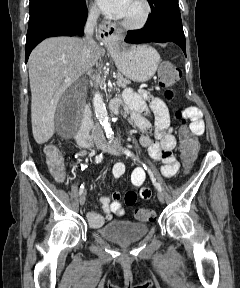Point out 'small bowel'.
Listing matches in <instances>:
<instances>
[{
	"label": "small bowel",
	"instance_id": "small-bowel-1",
	"mask_svg": "<svg viewBox=\"0 0 240 288\" xmlns=\"http://www.w3.org/2000/svg\"><path fill=\"white\" fill-rule=\"evenodd\" d=\"M125 111L129 114L134 125L143 133L140 137V144L148 149L149 155L154 160L160 162L161 172L165 177L174 176L179 170V163L173 155L176 145V137L170 125V114L164 101L159 97L153 96L148 91L142 89L134 91L126 89L120 100ZM154 117V130L149 117ZM182 117L190 122L189 130L194 136H200L204 132V121L201 111L196 107H187L182 111ZM153 131L154 139L151 137ZM87 154L85 147H81L77 152V157ZM125 164L117 162L112 169L115 178H120L125 173ZM146 176L142 168L137 167L131 174V182L134 186L140 187L139 195L142 199H149L151 189L143 186ZM102 210L104 215L97 211L87 213L89 223L92 227L98 228L107 220L112 218V214L123 215L124 210L120 202V194L114 193V198L102 199Z\"/></svg>",
	"mask_w": 240,
	"mask_h": 288
}]
</instances>
